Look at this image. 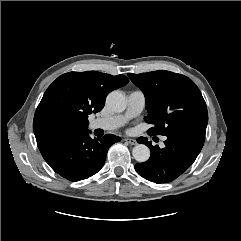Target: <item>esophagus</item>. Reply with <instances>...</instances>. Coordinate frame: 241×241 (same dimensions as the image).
Here are the masks:
<instances>
[{
	"mask_svg": "<svg viewBox=\"0 0 241 241\" xmlns=\"http://www.w3.org/2000/svg\"><path fill=\"white\" fill-rule=\"evenodd\" d=\"M124 141H126L130 145H136L137 144L136 140L135 139H131V138H125Z\"/></svg>",
	"mask_w": 241,
	"mask_h": 241,
	"instance_id": "esophagus-1",
	"label": "esophagus"
}]
</instances>
